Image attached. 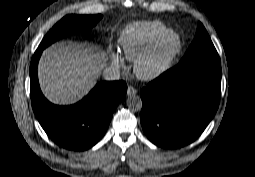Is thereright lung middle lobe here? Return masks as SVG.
Returning a JSON list of instances; mask_svg holds the SVG:
<instances>
[{
  "label": "right lung middle lobe",
  "mask_w": 255,
  "mask_h": 177,
  "mask_svg": "<svg viewBox=\"0 0 255 177\" xmlns=\"http://www.w3.org/2000/svg\"><path fill=\"white\" fill-rule=\"evenodd\" d=\"M102 18V15H67L62 18L44 37L38 49L43 50L59 38L74 32H86Z\"/></svg>",
  "instance_id": "1"
}]
</instances>
